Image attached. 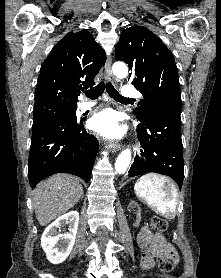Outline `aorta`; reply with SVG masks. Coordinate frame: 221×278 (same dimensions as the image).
<instances>
[{"instance_id": "obj_1", "label": "aorta", "mask_w": 221, "mask_h": 278, "mask_svg": "<svg viewBox=\"0 0 221 278\" xmlns=\"http://www.w3.org/2000/svg\"><path fill=\"white\" fill-rule=\"evenodd\" d=\"M112 71L114 75L119 78H125L128 75V67L123 62H116L113 64ZM131 161L130 149L123 150L116 159L115 170L118 174L126 172Z\"/></svg>"}]
</instances>
